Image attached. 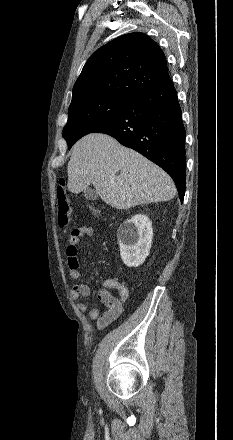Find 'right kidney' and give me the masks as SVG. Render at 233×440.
I'll return each mask as SVG.
<instances>
[{
  "instance_id": "1",
  "label": "right kidney",
  "mask_w": 233,
  "mask_h": 440,
  "mask_svg": "<svg viewBox=\"0 0 233 440\" xmlns=\"http://www.w3.org/2000/svg\"><path fill=\"white\" fill-rule=\"evenodd\" d=\"M117 237L123 263L128 267H138L150 252L152 222L146 215H135L119 227Z\"/></svg>"
}]
</instances>
